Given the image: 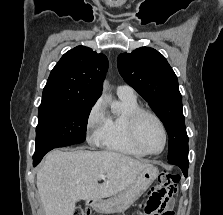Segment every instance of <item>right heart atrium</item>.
<instances>
[{"label":"right heart atrium","mask_w":223,"mask_h":215,"mask_svg":"<svg viewBox=\"0 0 223 215\" xmlns=\"http://www.w3.org/2000/svg\"><path fill=\"white\" fill-rule=\"evenodd\" d=\"M107 125V113L103 103L98 100L96 101L87 116L86 129L92 131V141H99V137L106 128Z\"/></svg>","instance_id":"1"}]
</instances>
